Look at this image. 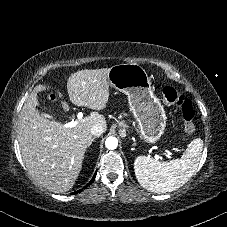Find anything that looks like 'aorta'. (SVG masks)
<instances>
[{
  "instance_id": "aorta-1",
  "label": "aorta",
  "mask_w": 227,
  "mask_h": 227,
  "mask_svg": "<svg viewBox=\"0 0 227 227\" xmlns=\"http://www.w3.org/2000/svg\"><path fill=\"white\" fill-rule=\"evenodd\" d=\"M105 146L109 150H114L118 146V140L116 137H108L105 141Z\"/></svg>"
}]
</instances>
